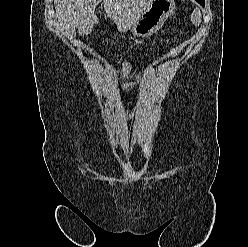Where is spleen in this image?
I'll return each instance as SVG.
<instances>
[{
    "label": "spleen",
    "instance_id": "spleen-1",
    "mask_svg": "<svg viewBox=\"0 0 248 247\" xmlns=\"http://www.w3.org/2000/svg\"><path fill=\"white\" fill-rule=\"evenodd\" d=\"M202 15L199 9H195L191 14V21L195 26H199L201 23Z\"/></svg>",
    "mask_w": 248,
    "mask_h": 247
}]
</instances>
